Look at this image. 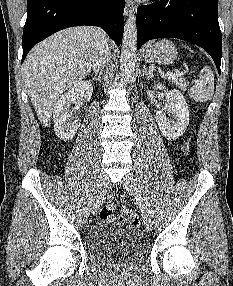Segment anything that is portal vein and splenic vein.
I'll list each match as a JSON object with an SVG mask.
<instances>
[{"mask_svg": "<svg viewBox=\"0 0 233 286\" xmlns=\"http://www.w3.org/2000/svg\"><path fill=\"white\" fill-rule=\"evenodd\" d=\"M185 74V72L182 71H175L174 73H168L166 75L170 76V77H178V76H183ZM164 76V74L162 75V77Z\"/></svg>", "mask_w": 233, "mask_h": 286, "instance_id": "1", "label": "portal vein and splenic vein"}]
</instances>
